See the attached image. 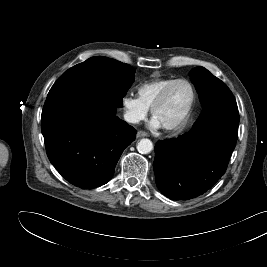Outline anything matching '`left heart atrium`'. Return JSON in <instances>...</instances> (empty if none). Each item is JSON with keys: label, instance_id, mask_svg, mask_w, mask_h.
<instances>
[{"label": "left heart atrium", "instance_id": "1", "mask_svg": "<svg viewBox=\"0 0 267 267\" xmlns=\"http://www.w3.org/2000/svg\"><path fill=\"white\" fill-rule=\"evenodd\" d=\"M151 126L154 128H159V127H161V124L159 123V121L156 118H153L151 121Z\"/></svg>", "mask_w": 267, "mask_h": 267}]
</instances>
